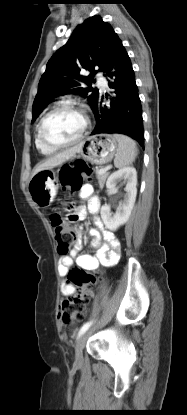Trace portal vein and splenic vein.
I'll list each match as a JSON object with an SVG mask.
<instances>
[{
  "label": "portal vein and splenic vein",
  "mask_w": 187,
  "mask_h": 415,
  "mask_svg": "<svg viewBox=\"0 0 187 415\" xmlns=\"http://www.w3.org/2000/svg\"><path fill=\"white\" fill-rule=\"evenodd\" d=\"M109 166L108 167H105V168H102V169H100L99 170V174H104V173H106L108 170H109Z\"/></svg>",
  "instance_id": "obj_1"
}]
</instances>
